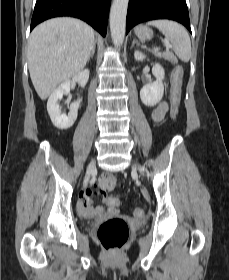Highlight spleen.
Listing matches in <instances>:
<instances>
[{"instance_id": "spleen-1", "label": "spleen", "mask_w": 229, "mask_h": 280, "mask_svg": "<svg viewBox=\"0 0 229 280\" xmlns=\"http://www.w3.org/2000/svg\"><path fill=\"white\" fill-rule=\"evenodd\" d=\"M148 25L154 26L165 35L170 42L175 54L184 62H188L191 56V41L186 29L171 20L161 19L149 21Z\"/></svg>"}]
</instances>
